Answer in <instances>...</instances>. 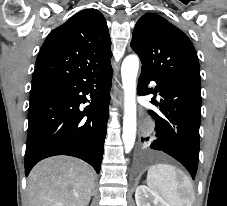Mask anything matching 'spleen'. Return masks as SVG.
I'll return each instance as SVG.
<instances>
[{
	"label": "spleen",
	"instance_id": "spleen-1",
	"mask_svg": "<svg viewBox=\"0 0 227 206\" xmlns=\"http://www.w3.org/2000/svg\"><path fill=\"white\" fill-rule=\"evenodd\" d=\"M147 184L170 206H192L193 186L188 177L172 165L157 164L148 169Z\"/></svg>",
	"mask_w": 227,
	"mask_h": 206
}]
</instances>
